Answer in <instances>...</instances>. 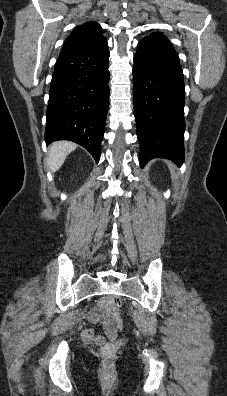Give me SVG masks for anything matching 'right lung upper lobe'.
Listing matches in <instances>:
<instances>
[{"label":"right lung upper lobe","instance_id":"right-lung-upper-lobe-1","mask_svg":"<svg viewBox=\"0 0 227 396\" xmlns=\"http://www.w3.org/2000/svg\"><path fill=\"white\" fill-rule=\"evenodd\" d=\"M101 26L95 22H87L74 28L63 44L64 50L78 49L96 45L105 40L101 33Z\"/></svg>","mask_w":227,"mask_h":396}]
</instances>
